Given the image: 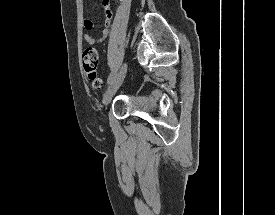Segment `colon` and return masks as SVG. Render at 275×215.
I'll use <instances>...</instances> for the list:
<instances>
[{
    "mask_svg": "<svg viewBox=\"0 0 275 215\" xmlns=\"http://www.w3.org/2000/svg\"><path fill=\"white\" fill-rule=\"evenodd\" d=\"M82 67L86 77L92 81L96 88L102 86L101 80L97 76L98 51L93 46H86L82 52Z\"/></svg>",
    "mask_w": 275,
    "mask_h": 215,
    "instance_id": "5ec220e1",
    "label": "colon"
}]
</instances>
